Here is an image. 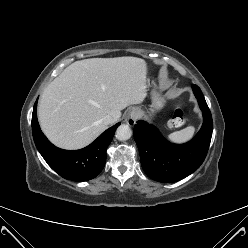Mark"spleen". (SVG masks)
<instances>
[{"label": "spleen", "instance_id": "1", "mask_svg": "<svg viewBox=\"0 0 248 248\" xmlns=\"http://www.w3.org/2000/svg\"><path fill=\"white\" fill-rule=\"evenodd\" d=\"M195 134V128L188 126L180 131L173 132L168 135V139L173 143H185L189 141Z\"/></svg>", "mask_w": 248, "mask_h": 248}]
</instances>
